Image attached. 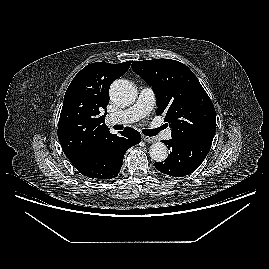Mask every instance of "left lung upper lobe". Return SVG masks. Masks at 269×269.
Masks as SVG:
<instances>
[{
    "mask_svg": "<svg viewBox=\"0 0 269 269\" xmlns=\"http://www.w3.org/2000/svg\"><path fill=\"white\" fill-rule=\"evenodd\" d=\"M131 67L154 90L156 113L166 114L172 139L212 143L216 131L215 108L198 78L186 65L170 59H154L134 61Z\"/></svg>",
    "mask_w": 269,
    "mask_h": 269,
    "instance_id": "1",
    "label": "left lung upper lobe"
}]
</instances>
